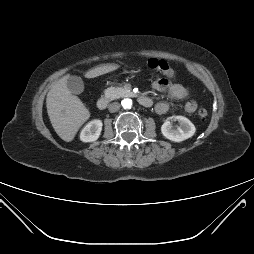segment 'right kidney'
Masks as SVG:
<instances>
[{
    "label": "right kidney",
    "instance_id": "obj_1",
    "mask_svg": "<svg viewBox=\"0 0 254 254\" xmlns=\"http://www.w3.org/2000/svg\"><path fill=\"white\" fill-rule=\"evenodd\" d=\"M103 123L99 119L90 121L81 131L80 140L83 142L96 141L102 130Z\"/></svg>",
    "mask_w": 254,
    "mask_h": 254
}]
</instances>
